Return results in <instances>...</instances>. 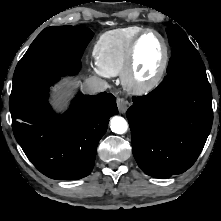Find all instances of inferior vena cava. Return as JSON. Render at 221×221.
Returning <instances> with one entry per match:
<instances>
[{"label":"inferior vena cava","instance_id":"obj_1","mask_svg":"<svg viewBox=\"0 0 221 221\" xmlns=\"http://www.w3.org/2000/svg\"><path fill=\"white\" fill-rule=\"evenodd\" d=\"M86 87L92 93H99L108 88V83L97 76H92L86 79Z\"/></svg>","mask_w":221,"mask_h":221}]
</instances>
